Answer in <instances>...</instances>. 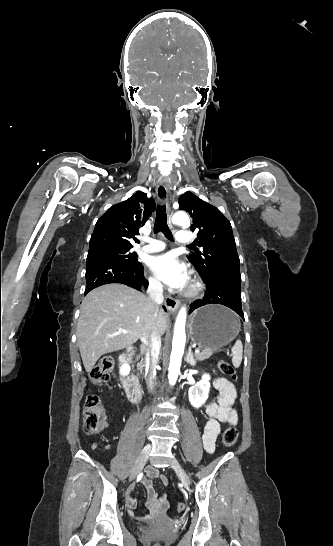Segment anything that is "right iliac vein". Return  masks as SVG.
Listing matches in <instances>:
<instances>
[{
  "label": "right iliac vein",
  "instance_id": "obj_1",
  "mask_svg": "<svg viewBox=\"0 0 333 546\" xmlns=\"http://www.w3.org/2000/svg\"><path fill=\"white\" fill-rule=\"evenodd\" d=\"M151 452V444H147L139 454L131 471L130 479H134L144 467Z\"/></svg>",
  "mask_w": 333,
  "mask_h": 546
}]
</instances>
